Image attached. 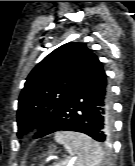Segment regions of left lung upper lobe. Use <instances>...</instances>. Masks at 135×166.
Here are the masks:
<instances>
[{"mask_svg":"<svg viewBox=\"0 0 135 166\" xmlns=\"http://www.w3.org/2000/svg\"><path fill=\"white\" fill-rule=\"evenodd\" d=\"M85 43H66L46 56L29 74L19 97L17 123L47 125L66 107L85 66L94 57Z\"/></svg>","mask_w":135,"mask_h":166,"instance_id":"obj_1","label":"left lung upper lobe"}]
</instances>
